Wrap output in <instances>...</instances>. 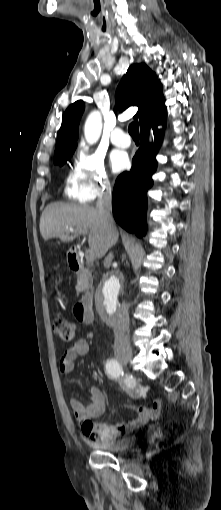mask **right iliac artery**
<instances>
[{
  "label": "right iliac artery",
  "mask_w": 221,
  "mask_h": 510,
  "mask_svg": "<svg viewBox=\"0 0 221 510\" xmlns=\"http://www.w3.org/2000/svg\"><path fill=\"white\" fill-rule=\"evenodd\" d=\"M106 371L112 377L118 378L123 375V367L116 359H110L106 363Z\"/></svg>",
  "instance_id": "1"
}]
</instances>
